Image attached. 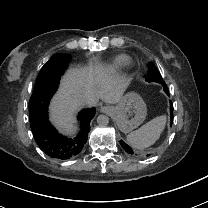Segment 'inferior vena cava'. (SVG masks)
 <instances>
[{"label":"inferior vena cava","mask_w":208,"mask_h":208,"mask_svg":"<svg viewBox=\"0 0 208 208\" xmlns=\"http://www.w3.org/2000/svg\"><path fill=\"white\" fill-rule=\"evenodd\" d=\"M73 97L78 100L80 104L92 103V96L86 94L85 90H77L72 93Z\"/></svg>","instance_id":"obj_1"}]
</instances>
